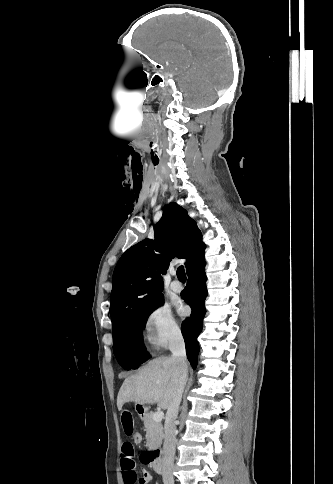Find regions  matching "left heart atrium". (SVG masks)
<instances>
[{
    "mask_svg": "<svg viewBox=\"0 0 333 484\" xmlns=\"http://www.w3.org/2000/svg\"><path fill=\"white\" fill-rule=\"evenodd\" d=\"M180 313L183 314V315H185L187 313V310L185 308H181L180 309Z\"/></svg>",
    "mask_w": 333,
    "mask_h": 484,
    "instance_id": "1",
    "label": "left heart atrium"
}]
</instances>
